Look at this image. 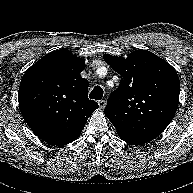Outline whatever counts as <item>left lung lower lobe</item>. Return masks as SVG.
Wrapping results in <instances>:
<instances>
[{
  "mask_svg": "<svg viewBox=\"0 0 193 193\" xmlns=\"http://www.w3.org/2000/svg\"><path fill=\"white\" fill-rule=\"evenodd\" d=\"M118 135L122 140L133 145H142L155 138V136H147V135H122V134Z\"/></svg>",
  "mask_w": 193,
  "mask_h": 193,
  "instance_id": "obj_1",
  "label": "left lung lower lobe"
}]
</instances>
